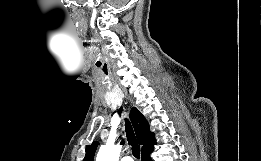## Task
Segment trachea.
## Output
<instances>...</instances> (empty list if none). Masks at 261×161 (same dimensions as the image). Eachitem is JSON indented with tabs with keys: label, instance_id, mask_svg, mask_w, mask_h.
Returning a JSON list of instances; mask_svg holds the SVG:
<instances>
[{
	"label": "trachea",
	"instance_id": "obj_1",
	"mask_svg": "<svg viewBox=\"0 0 261 161\" xmlns=\"http://www.w3.org/2000/svg\"><path fill=\"white\" fill-rule=\"evenodd\" d=\"M126 126V136L128 140V144L132 147L133 156L137 159L140 158V146L137 143L136 136L134 134L133 128L128 120L125 122Z\"/></svg>",
	"mask_w": 261,
	"mask_h": 161
}]
</instances>
